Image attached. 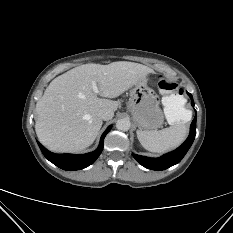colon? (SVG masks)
<instances>
[{
  "instance_id": "1",
  "label": "colon",
  "mask_w": 233,
  "mask_h": 233,
  "mask_svg": "<svg viewBox=\"0 0 233 233\" xmlns=\"http://www.w3.org/2000/svg\"><path fill=\"white\" fill-rule=\"evenodd\" d=\"M159 88L163 94V107L167 120L176 125L187 124L191 119V111L187 107L180 86L161 78Z\"/></svg>"
}]
</instances>
